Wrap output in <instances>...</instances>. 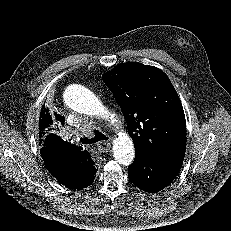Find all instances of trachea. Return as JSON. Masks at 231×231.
<instances>
[{
    "label": "trachea",
    "mask_w": 231,
    "mask_h": 231,
    "mask_svg": "<svg viewBox=\"0 0 231 231\" xmlns=\"http://www.w3.org/2000/svg\"><path fill=\"white\" fill-rule=\"evenodd\" d=\"M104 140H108V137L98 130L93 131V137L92 138H88V137L81 138V141L84 144H92V143H96L98 141H104Z\"/></svg>",
    "instance_id": "1"
}]
</instances>
